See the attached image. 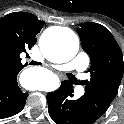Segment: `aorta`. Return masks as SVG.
I'll return each instance as SVG.
<instances>
[{"mask_svg":"<svg viewBox=\"0 0 124 124\" xmlns=\"http://www.w3.org/2000/svg\"><path fill=\"white\" fill-rule=\"evenodd\" d=\"M40 47L46 58L54 62L65 63L70 61L78 52L79 40L77 35L70 29L61 28L53 37L47 33L40 40ZM21 78L23 85L29 90L39 89V85L31 78V72L25 71Z\"/></svg>","mask_w":124,"mask_h":124,"instance_id":"obj_1","label":"aorta"}]
</instances>
